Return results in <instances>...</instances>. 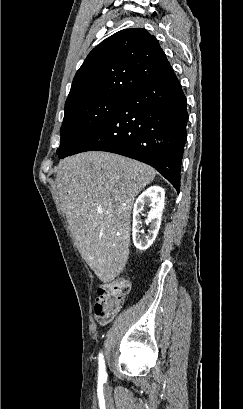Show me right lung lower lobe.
<instances>
[{"label": "right lung lower lobe", "mask_w": 243, "mask_h": 409, "mask_svg": "<svg viewBox=\"0 0 243 409\" xmlns=\"http://www.w3.org/2000/svg\"><path fill=\"white\" fill-rule=\"evenodd\" d=\"M187 121L186 97L172 72L127 96L109 122L69 155L100 150L139 160L179 192Z\"/></svg>", "instance_id": "1"}]
</instances>
